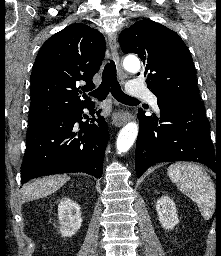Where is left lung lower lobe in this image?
<instances>
[{"label":"left lung lower lobe","mask_w":221,"mask_h":256,"mask_svg":"<svg viewBox=\"0 0 221 256\" xmlns=\"http://www.w3.org/2000/svg\"><path fill=\"white\" fill-rule=\"evenodd\" d=\"M160 119L139 113L140 126L136 143L135 167L139 178L151 165L169 161L200 162L217 174L210 138V124L203 104L157 102ZM161 123L160 125H158Z\"/></svg>","instance_id":"left-lung-lower-lobe-1"}]
</instances>
